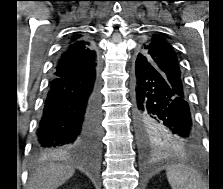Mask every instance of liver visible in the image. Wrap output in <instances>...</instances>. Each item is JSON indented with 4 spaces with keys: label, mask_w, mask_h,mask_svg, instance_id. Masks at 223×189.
I'll use <instances>...</instances> for the list:
<instances>
[{
    "label": "liver",
    "mask_w": 223,
    "mask_h": 189,
    "mask_svg": "<svg viewBox=\"0 0 223 189\" xmlns=\"http://www.w3.org/2000/svg\"><path fill=\"white\" fill-rule=\"evenodd\" d=\"M75 168L69 164H50L34 171L28 189H56L73 176Z\"/></svg>",
    "instance_id": "1"
}]
</instances>
